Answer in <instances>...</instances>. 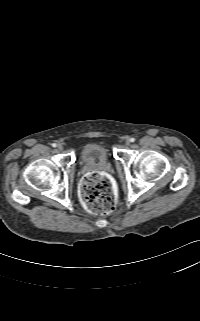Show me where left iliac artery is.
Masks as SVG:
<instances>
[{"label": "left iliac artery", "mask_w": 200, "mask_h": 321, "mask_svg": "<svg viewBox=\"0 0 200 321\" xmlns=\"http://www.w3.org/2000/svg\"><path fill=\"white\" fill-rule=\"evenodd\" d=\"M130 140H131V142H134V141H135V138H131Z\"/></svg>", "instance_id": "left-iliac-artery-1"}]
</instances>
